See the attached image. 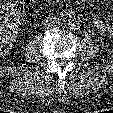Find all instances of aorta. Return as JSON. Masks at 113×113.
Wrapping results in <instances>:
<instances>
[{"label": "aorta", "instance_id": "obj_1", "mask_svg": "<svg viewBox=\"0 0 113 113\" xmlns=\"http://www.w3.org/2000/svg\"><path fill=\"white\" fill-rule=\"evenodd\" d=\"M67 25L72 30H77L82 25V20L79 16H70Z\"/></svg>", "mask_w": 113, "mask_h": 113}]
</instances>
